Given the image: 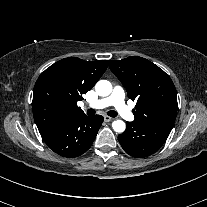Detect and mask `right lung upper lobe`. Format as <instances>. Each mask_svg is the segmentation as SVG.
Wrapping results in <instances>:
<instances>
[{
    "label": "right lung upper lobe",
    "mask_w": 207,
    "mask_h": 207,
    "mask_svg": "<svg viewBox=\"0 0 207 207\" xmlns=\"http://www.w3.org/2000/svg\"><path fill=\"white\" fill-rule=\"evenodd\" d=\"M107 68L106 60L62 59L41 73L36 81L32 109L39 132L66 119L84 114L77 102Z\"/></svg>",
    "instance_id": "cb5924a9"
}]
</instances>
